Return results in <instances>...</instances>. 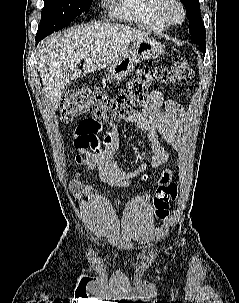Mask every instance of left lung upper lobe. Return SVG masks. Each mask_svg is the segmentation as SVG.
Listing matches in <instances>:
<instances>
[{"instance_id":"1","label":"left lung upper lobe","mask_w":239,"mask_h":303,"mask_svg":"<svg viewBox=\"0 0 239 303\" xmlns=\"http://www.w3.org/2000/svg\"><path fill=\"white\" fill-rule=\"evenodd\" d=\"M186 8V16L190 20L189 33L193 42L199 45L205 55L206 52V32L202 23L199 0H181Z\"/></svg>"}]
</instances>
